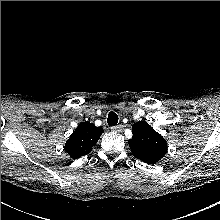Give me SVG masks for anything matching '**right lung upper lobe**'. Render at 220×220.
Returning a JSON list of instances; mask_svg holds the SVG:
<instances>
[{
  "mask_svg": "<svg viewBox=\"0 0 220 220\" xmlns=\"http://www.w3.org/2000/svg\"><path fill=\"white\" fill-rule=\"evenodd\" d=\"M102 133L101 127L89 122L81 123L66 141L64 150L71 158L78 159L91 152Z\"/></svg>",
  "mask_w": 220,
  "mask_h": 220,
  "instance_id": "1",
  "label": "right lung upper lobe"
}]
</instances>
